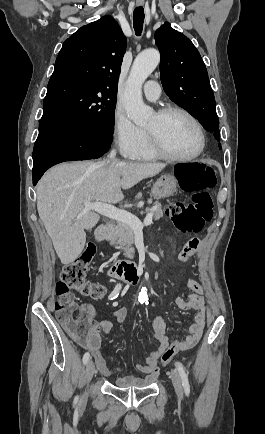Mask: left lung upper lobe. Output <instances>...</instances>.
<instances>
[{"label": "left lung upper lobe", "mask_w": 265, "mask_h": 434, "mask_svg": "<svg viewBox=\"0 0 265 434\" xmlns=\"http://www.w3.org/2000/svg\"><path fill=\"white\" fill-rule=\"evenodd\" d=\"M160 77L169 98L219 140V119L205 64L193 43L166 22L155 33ZM221 148V145H219Z\"/></svg>", "instance_id": "5c2ea615"}]
</instances>
